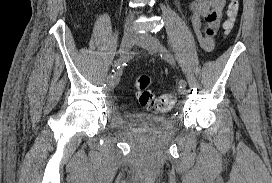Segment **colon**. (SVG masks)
Returning a JSON list of instances; mask_svg holds the SVG:
<instances>
[{
  "mask_svg": "<svg viewBox=\"0 0 272 183\" xmlns=\"http://www.w3.org/2000/svg\"><path fill=\"white\" fill-rule=\"evenodd\" d=\"M239 10V1L230 0L226 8V19L224 21V30L229 33L235 24ZM151 78L149 75L143 74L137 77L135 87L138 92V99L143 107L152 109L156 112H166L170 110L175 102L176 96L171 93L163 94L156 97L150 90Z\"/></svg>",
  "mask_w": 272,
  "mask_h": 183,
  "instance_id": "1",
  "label": "colon"
}]
</instances>
